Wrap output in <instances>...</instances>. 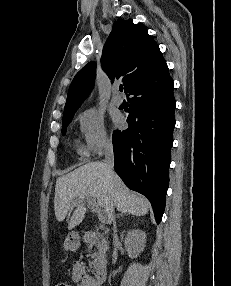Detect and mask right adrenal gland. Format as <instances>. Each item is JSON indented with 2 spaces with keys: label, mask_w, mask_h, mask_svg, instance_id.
I'll return each mask as SVG.
<instances>
[{
  "label": "right adrenal gland",
  "mask_w": 231,
  "mask_h": 286,
  "mask_svg": "<svg viewBox=\"0 0 231 286\" xmlns=\"http://www.w3.org/2000/svg\"><path fill=\"white\" fill-rule=\"evenodd\" d=\"M125 215H128V214H125V213L118 214V215H117V218H119L120 216H121V217H122V216H125Z\"/></svg>",
  "instance_id": "obj_1"
}]
</instances>
